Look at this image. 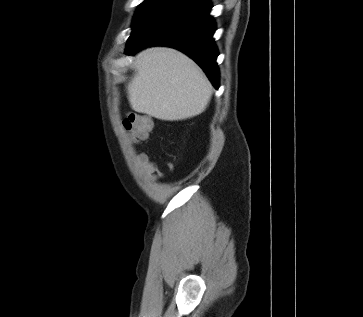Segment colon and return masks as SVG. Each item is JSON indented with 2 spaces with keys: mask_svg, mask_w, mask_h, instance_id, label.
<instances>
[{
  "mask_svg": "<svg viewBox=\"0 0 363 317\" xmlns=\"http://www.w3.org/2000/svg\"><path fill=\"white\" fill-rule=\"evenodd\" d=\"M123 127L130 134L132 141L145 139L152 129L153 121L147 115L128 113L123 119Z\"/></svg>",
  "mask_w": 363,
  "mask_h": 317,
  "instance_id": "colon-1",
  "label": "colon"
}]
</instances>
